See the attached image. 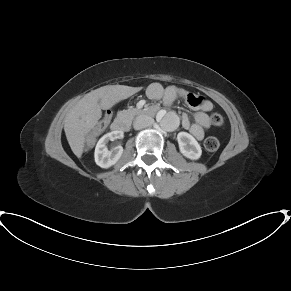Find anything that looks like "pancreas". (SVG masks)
<instances>
[{
	"mask_svg": "<svg viewBox=\"0 0 291 291\" xmlns=\"http://www.w3.org/2000/svg\"><path fill=\"white\" fill-rule=\"evenodd\" d=\"M140 113H141L140 110H138V109H136V108H131V109H128V110L120 111V112L118 113V117H119L120 119H124V120H129V121H131V120H133V118H134L136 115H138V114H140Z\"/></svg>",
	"mask_w": 291,
	"mask_h": 291,
	"instance_id": "1",
	"label": "pancreas"
}]
</instances>
